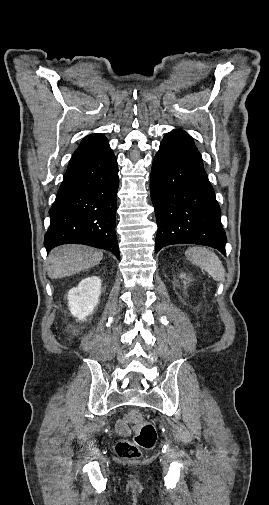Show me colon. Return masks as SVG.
Masks as SVG:
<instances>
[{
  "label": "colon",
  "mask_w": 269,
  "mask_h": 505,
  "mask_svg": "<svg viewBox=\"0 0 269 505\" xmlns=\"http://www.w3.org/2000/svg\"><path fill=\"white\" fill-rule=\"evenodd\" d=\"M129 422L136 432L134 440H121L115 447L117 456L125 460L138 459L141 456V450L151 449L157 440L155 426L145 421L139 412L133 411L129 416Z\"/></svg>",
  "instance_id": "1"
}]
</instances>
